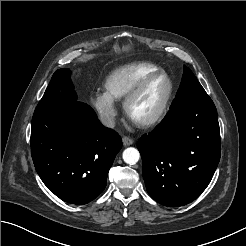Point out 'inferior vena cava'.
<instances>
[{"mask_svg":"<svg viewBox=\"0 0 246 246\" xmlns=\"http://www.w3.org/2000/svg\"><path fill=\"white\" fill-rule=\"evenodd\" d=\"M101 123L106 126L113 128L115 126V119L113 116H110L108 114H103L100 116Z\"/></svg>","mask_w":246,"mask_h":246,"instance_id":"inferior-vena-cava-1","label":"inferior vena cava"}]
</instances>
